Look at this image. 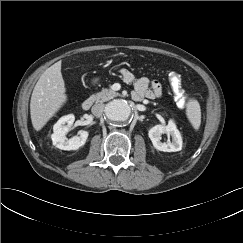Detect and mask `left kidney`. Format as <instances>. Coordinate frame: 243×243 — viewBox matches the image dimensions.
Instances as JSON below:
<instances>
[{
  "mask_svg": "<svg viewBox=\"0 0 243 243\" xmlns=\"http://www.w3.org/2000/svg\"><path fill=\"white\" fill-rule=\"evenodd\" d=\"M167 134L172 137V141L161 142V135ZM149 138L153 143V146L164 152H176L182 149V137L175 123L170 120L167 126L155 125L148 132Z\"/></svg>",
  "mask_w": 243,
  "mask_h": 243,
  "instance_id": "left-kidney-1",
  "label": "left kidney"
}]
</instances>
